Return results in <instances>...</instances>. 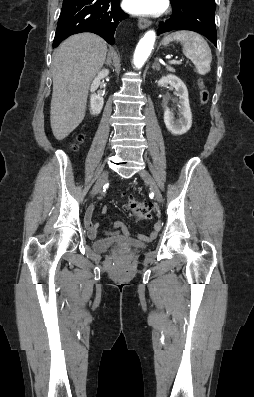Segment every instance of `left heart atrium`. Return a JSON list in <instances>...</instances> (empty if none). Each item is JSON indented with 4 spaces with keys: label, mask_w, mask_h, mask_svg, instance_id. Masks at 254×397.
Masks as SVG:
<instances>
[{
    "label": "left heart atrium",
    "mask_w": 254,
    "mask_h": 397,
    "mask_svg": "<svg viewBox=\"0 0 254 397\" xmlns=\"http://www.w3.org/2000/svg\"><path fill=\"white\" fill-rule=\"evenodd\" d=\"M124 8L133 14L155 15L165 8V0H123Z\"/></svg>",
    "instance_id": "1"
}]
</instances>
